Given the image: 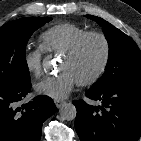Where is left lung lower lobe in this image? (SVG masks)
Wrapping results in <instances>:
<instances>
[{"mask_svg":"<svg viewBox=\"0 0 141 141\" xmlns=\"http://www.w3.org/2000/svg\"><path fill=\"white\" fill-rule=\"evenodd\" d=\"M86 96L99 100L94 107L82 100L77 108L75 129L81 141H137L141 136V83H120Z\"/></svg>","mask_w":141,"mask_h":141,"instance_id":"1","label":"left lung lower lobe"}]
</instances>
